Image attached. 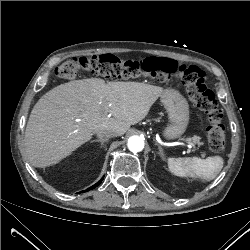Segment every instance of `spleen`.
Returning a JSON list of instances; mask_svg holds the SVG:
<instances>
[{
    "label": "spleen",
    "mask_w": 250,
    "mask_h": 250,
    "mask_svg": "<svg viewBox=\"0 0 250 250\" xmlns=\"http://www.w3.org/2000/svg\"><path fill=\"white\" fill-rule=\"evenodd\" d=\"M224 160L220 156L207 159L192 158H168V167L171 173L179 177L191 176L205 181L214 179L222 170Z\"/></svg>",
    "instance_id": "obj_1"
}]
</instances>
